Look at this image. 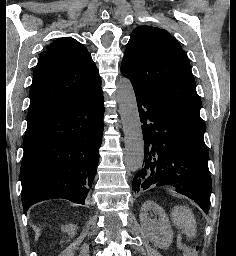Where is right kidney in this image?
<instances>
[{"label": "right kidney", "mask_w": 236, "mask_h": 256, "mask_svg": "<svg viewBox=\"0 0 236 256\" xmlns=\"http://www.w3.org/2000/svg\"><path fill=\"white\" fill-rule=\"evenodd\" d=\"M62 232H66V234H68V236H75L78 228L77 226H74V224H69V226H62L61 228Z\"/></svg>", "instance_id": "obj_1"}]
</instances>
